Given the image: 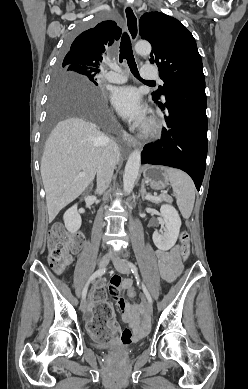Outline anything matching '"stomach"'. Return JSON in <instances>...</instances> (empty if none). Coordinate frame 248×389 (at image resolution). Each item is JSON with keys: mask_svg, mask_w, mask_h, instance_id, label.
<instances>
[{"mask_svg": "<svg viewBox=\"0 0 248 389\" xmlns=\"http://www.w3.org/2000/svg\"><path fill=\"white\" fill-rule=\"evenodd\" d=\"M144 180L155 190L164 189L169 184L167 168L163 166L147 165L143 170Z\"/></svg>", "mask_w": 248, "mask_h": 389, "instance_id": "obj_1", "label": "stomach"}]
</instances>
